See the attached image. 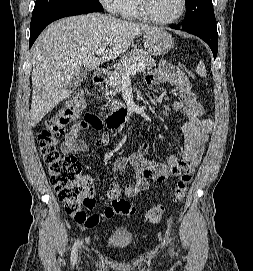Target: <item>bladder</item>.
<instances>
[{"label":"bladder","instance_id":"obj_1","mask_svg":"<svg viewBox=\"0 0 253 271\" xmlns=\"http://www.w3.org/2000/svg\"><path fill=\"white\" fill-rule=\"evenodd\" d=\"M135 241L134 233L127 227H117L106 234L102 244L107 249L121 250Z\"/></svg>","mask_w":253,"mask_h":271}]
</instances>
